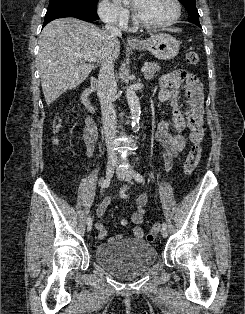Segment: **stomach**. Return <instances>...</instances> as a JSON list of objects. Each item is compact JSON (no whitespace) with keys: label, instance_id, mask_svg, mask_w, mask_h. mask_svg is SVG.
<instances>
[{"label":"stomach","instance_id":"0dacf381","mask_svg":"<svg viewBox=\"0 0 245 314\" xmlns=\"http://www.w3.org/2000/svg\"><path fill=\"white\" fill-rule=\"evenodd\" d=\"M130 47L139 51H149L160 60H170L178 54L180 43L169 34L156 33L146 40L131 44Z\"/></svg>","mask_w":245,"mask_h":314}]
</instances>
